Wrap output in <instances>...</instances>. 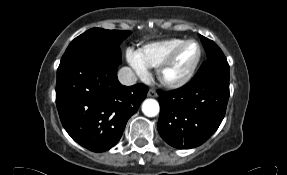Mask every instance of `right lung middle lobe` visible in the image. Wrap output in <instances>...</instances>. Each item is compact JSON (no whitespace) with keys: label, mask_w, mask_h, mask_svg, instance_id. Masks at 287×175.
I'll list each match as a JSON object with an SVG mask.
<instances>
[{"label":"right lung middle lobe","mask_w":287,"mask_h":175,"mask_svg":"<svg viewBox=\"0 0 287 175\" xmlns=\"http://www.w3.org/2000/svg\"><path fill=\"white\" fill-rule=\"evenodd\" d=\"M130 31L92 28L75 38L66 49L60 65L89 55H104L121 62L120 43Z\"/></svg>","instance_id":"1"}]
</instances>
